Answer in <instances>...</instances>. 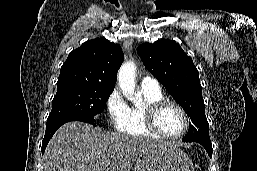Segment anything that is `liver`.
<instances>
[{
  "mask_svg": "<svg viewBox=\"0 0 257 171\" xmlns=\"http://www.w3.org/2000/svg\"><path fill=\"white\" fill-rule=\"evenodd\" d=\"M159 144L153 141L103 131L83 122L61 126L47 145L44 171H130L140 153Z\"/></svg>",
  "mask_w": 257,
  "mask_h": 171,
  "instance_id": "1",
  "label": "liver"
}]
</instances>
